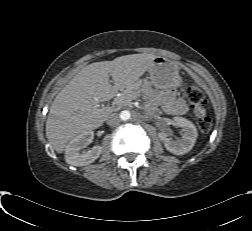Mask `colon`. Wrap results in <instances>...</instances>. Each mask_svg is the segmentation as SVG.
<instances>
[{
	"mask_svg": "<svg viewBox=\"0 0 252 231\" xmlns=\"http://www.w3.org/2000/svg\"><path fill=\"white\" fill-rule=\"evenodd\" d=\"M186 100L191 106L203 105L206 98L203 92L197 87H189L186 90ZM212 127V120L209 116H204L198 121V128L202 133H208Z\"/></svg>",
	"mask_w": 252,
	"mask_h": 231,
	"instance_id": "obj_1",
	"label": "colon"
}]
</instances>
